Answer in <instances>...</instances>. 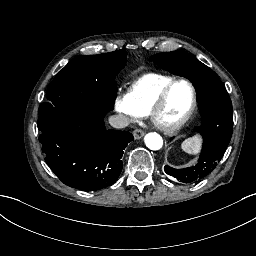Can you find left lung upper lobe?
Listing matches in <instances>:
<instances>
[{"instance_id":"1","label":"left lung upper lobe","mask_w":256,"mask_h":256,"mask_svg":"<svg viewBox=\"0 0 256 256\" xmlns=\"http://www.w3.org/2000/svg\"><path fill=\"white\" fill-rule=\"evenodd\" d=\"M150 61L173 74L186 77L195 86L202 114V125L195 128L204 138L196 166L165 172L207 176L222 159L233 130V110L229 95L217 74L192 54L184 51L158 53Z\"/></svg>"}]
</instances>
